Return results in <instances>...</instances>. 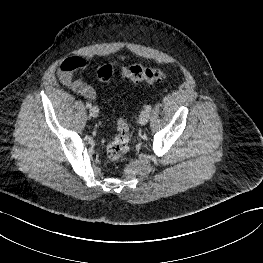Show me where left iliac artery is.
<instances>
[{
  "label": "left iliac artery",
  "instance_id": "1",
  "mask_svg": "<svg viewBox=\"0 0 263 263\" xmlns=\"http://www.w3.org/2000/svg\"><path fill=\"white\" fill-rule=\"evenodd\" d=\"M151 109H152L151 105H147V106L145 107V110L148 111V112H150Z\"/></svg>",
  "mask_w": 263,
  "mask_h": 263
}]
</instances>
